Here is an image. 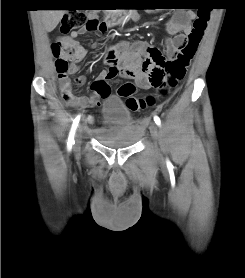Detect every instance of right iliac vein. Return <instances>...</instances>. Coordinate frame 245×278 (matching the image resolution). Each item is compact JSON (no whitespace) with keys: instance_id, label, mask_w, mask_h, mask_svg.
<instances>
[{"instance_id":"1","label":"right iliac vein","mask_w":245,"mask_h":278,"mask_svg":"<svg viewBox=\"0 0 245 278\" xmlns=\"http://www.w3.org/2000/svg\"><path fill=\"white\" fill-rule=\"evenodd\" d=\"M82 134H83V129L81 126H79L76 130L75 133V145H74V151H79L81 147V142H82Z\"/></svg>"}]
</instances>
